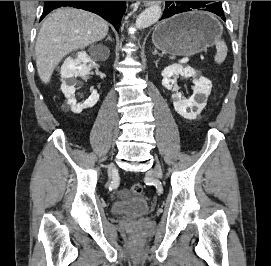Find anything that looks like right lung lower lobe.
<instances>
[{"label":"right lung lower lobe","instance_id":"1","mask_svg":"<svg viewBox=\"0 0 271 266\" xmlns=\"http://www.w3.org/2000/svg\"><path fill=\"white\" fill-rule=\"evenodd\" d=\"M61 6L81 8L100 15L118 31L121 18L126 9L125 1H45L42 20L53 9Z\"/></svg>","mask_w":271,"mask_h":266}]
</instances>
